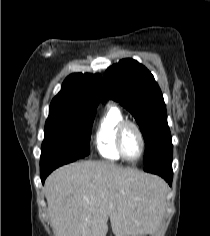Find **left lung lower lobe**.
<instances>
[{
    "instance_id": "0a47b994",
    "label": "left lung lower lobe",
    "mask_w": 210,
    "mask_h": 236,
    "mask_svg": "<svg viewBox=\"0 0 210 236\" xmlns=\"http://www.w3.org/2000/svg\"><path fill=\"white\" fill-rule=\"evenodd\" d=\"M173 146H169L159 154H157L150 162L144 164V170L149 173L160 175L168 184L172 185Z\"/></svg>"
}]
</instances>
